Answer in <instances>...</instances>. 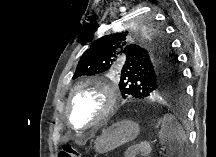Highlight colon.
Listing matches in <instances>:
<instances>
[{"label":"colon","mask_w":216,"mask_h":157,"mask_svg":"<svg viewBox=\"0 0 216 157\" xmlns=\"http://www.w3.org/2000/svg\"><path fill=\"white\" fill-rule=\"evenodd\" d=\"M58 157H79V154L73 147L65 145L59 151Z\"/></svg>","instance_id":"obj_1"}]
</instances>
